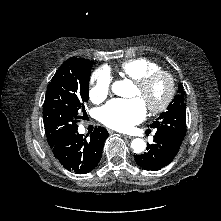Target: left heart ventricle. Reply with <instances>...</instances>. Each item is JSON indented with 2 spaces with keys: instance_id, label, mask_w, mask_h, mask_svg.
Masks as SVG:
<instances>
[{
  "instance_id": "1",
  "label": "left heart ventricle",
  "mask_w": 221,
  "mask_h": 221,
  "mask_svg": "<svg viewBox=\"0 0 221 221\" xmlns=\"http://www.w3.org/2000/svg\"><path fill=\"white\" fill-rule=\"evenodd\" d=\"M166 92L167 81L165 78H159L145 91H140L135 87L133 96L139 97L145 105H158L165 97Z\"/></svg>"
}]
</instances>
